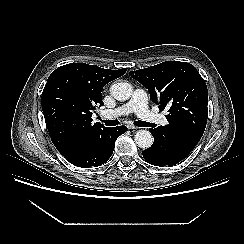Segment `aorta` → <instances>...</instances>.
<instances>
[{
  "mask_svg": "<svg viewBox=\"0 0 244 244\" xmlns=\"http://www.w3.org/2000/svg\"><path fill=\"white\" fill-rule=\"evenodd\" d=\"M132 92V85L126 82L115 83L110 87L111 95L119 101L129 99ZM134 141L140 148L147 149L153 144V136L147 130H139L134 135Z\"/></svg>",
  "mask_w": 244,
  "mask_h": 244,
  "instance_id": "obj_1",
  "label": "aorta"
}]
</instances>
